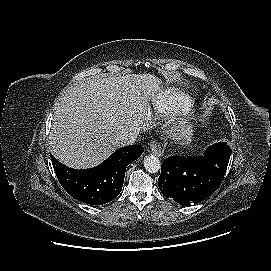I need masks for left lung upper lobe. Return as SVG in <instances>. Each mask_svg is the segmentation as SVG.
I'll return each mask as SVG.
<instances>
[{
	"mask_svg": "<svg viewBox=\"0 0 271 271\" xmlns=\"http://www.w3.org/2000/svg\"><path fill=\"white\" fill-rule=\"evenodd\" d=\"M205 155L213 162L221 164L223 167L227 168L231 149L225 143L215 144L208 148Z\"/></svg>",
	"mask_w": 271,
	"mask_h": 271,
	"instance_id": "5c2ea615",
	"label": "left lung upper lobe"
}]
</instances>
